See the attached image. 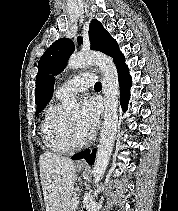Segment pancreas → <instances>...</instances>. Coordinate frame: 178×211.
Masks as SVG:
<instances>
[{
  "mask_svg": "<svg viewBox=\"0 0 178 211\" xmlns=\"http://www.w3.org/2000/svg\"><path fill=\"white\" fill-rule=\"evenodd\" d=\"M79 198L78 194H74L73 197L70 199L69 208L67 211H75V209L72 207L73 203L77 201Z\"/></svg>",
  "mask_w": 178,
  "mask_h": 211,
  "instance_id": "1",
  "label": "pancreas"
}]
</instances>
